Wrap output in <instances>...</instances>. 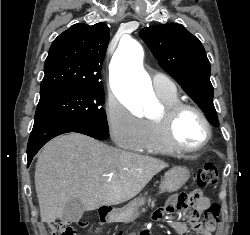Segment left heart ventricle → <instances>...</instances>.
Masks as SVG:
<instances>
[{
    "label": "left heart ventricle",
    "instance_id": "b2bd125f",
    "mask_svg": "<svg viewBox=\"0 0 250 235\" xmlns=\"http://www.w3.org/2000/svg\"><path fill=\"white\" fill-rule=\"evenodd\" d=\"M205 134L204 123L197 113L186 111L179 116L175 125V137L181 145L195 147L202 142Z\"/></svg>",
    "mask_w": 250,
    "mask_h": 235
}]
</instances>
